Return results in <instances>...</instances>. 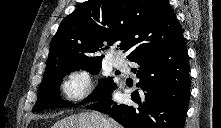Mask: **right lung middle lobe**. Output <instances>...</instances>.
Instances as JSON below:
<instances>
[{
	"label": "right lung middle lobe",
	"instance_id": "dd1d6c3e",
	"mask_svg": "<svg viewBox=\"0 0 221 128\" xmlns=\"http://www.w3.org/2000/svg\"><path fill=\"white\" fill-rule=\"evenodd\" d=\"M102 60H71L65 63L47 67L38 91V99L33 108L34 112L51 108H64L73 106L62 100L59 96V88L62 78L71 71L87 70L91 74H97L101 69ZM116 87L111 78L100 81L99 87L83 103L94 101L106 95Z\"/></svg>",
	"mask_w": 221,
	"mask_h": 128
}]
</instances>
